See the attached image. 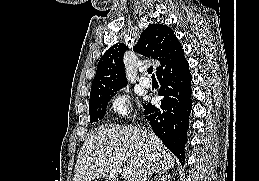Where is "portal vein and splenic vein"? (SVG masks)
Instances as JSON below:
<instances>
[{
  "label": "portal vein and splenic vein",
  "instance_id": "portal-vein-and-splenic-vein-1",
  "mask_svg": "<svg viewBox=\"0 0 259 181\" xmlns=\"http://www.w3.org/2000/svg\"><path fill=\"white\" fill-rule=\"evenodd\" d=\"M119 159L125 161L126 157L125 156H119ZM131 173H132V170L130 168H128V167L123 168V170L121 171L122 178L125 179V180L129 179Z\"/></svg>",
  "mask_w": 259,
  "mask_h": 181
}]
</instances>
